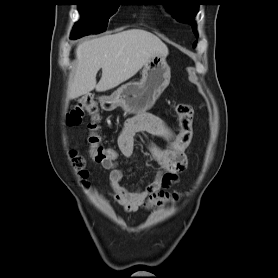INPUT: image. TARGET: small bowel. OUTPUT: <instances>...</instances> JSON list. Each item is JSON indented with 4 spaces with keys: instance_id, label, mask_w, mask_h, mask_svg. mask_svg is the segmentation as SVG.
<instances>
[{
    "instance_id": "obj_1",
    "label": "small bowel",
    "mask_w": 278,
    "mask_h": 278,
    "mask_svg": "<svg viewBox=\"0 0 278 278\" xmlns=\"http://www.w3.org/2000/svg\"><path fill=\"white\" fill-rule=\"evenodd\" d=\"M149 133L164 140V146L148 143L151 158L158 165L154 180L143 189L127 190L121 185L123 171L118 167V158L99 162L101 167L109 171L110 195L127 213H135L144 201L152 194L171 187L178 181L179 174L187 167L185 153H177L169 147L175 134L168 124L158 115L141 113L125 122L118 136V153L132 156L137 148L139 135Z\"/></svg>"
}]
</instances>
